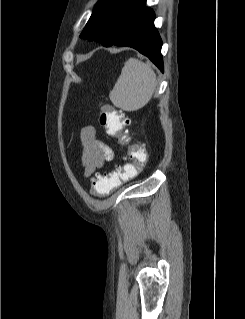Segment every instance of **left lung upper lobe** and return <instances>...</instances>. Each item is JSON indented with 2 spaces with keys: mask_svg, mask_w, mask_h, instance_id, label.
I'll list each match as a JSON object with an SVG mask.
<instances>
[{
  "mask_svg": "<svg viewBox=\"0 0 245 319\" xmlns=\"http://www.w3.org/2000/svg\"><path fill=\"white\" fill-rule=\"evenodd\" d=\"M146 0H99L80 37L110 46Z\"/></svg>",
  "mask_w": 245,
  "mask_h": 319,
  "instance_id": "left-lung-upper-lobe-1",
  "label": "left lung upper lobe"
}]
</instances>
